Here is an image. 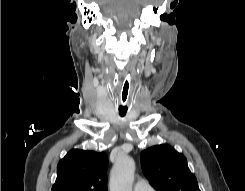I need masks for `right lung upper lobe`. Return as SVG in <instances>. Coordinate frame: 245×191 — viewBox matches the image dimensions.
I'll return each mask as SVG.
<instances>
[{"mask_svg": "<svg viewBox=\"0 0 245 191\" xmlns=\"http://www.w3.org/2000/svg\"><path fill=\"white\" fill-rule=\"evenodd\" d=\"M107 155L73 149L60 160L51 191H107Z\"/></svg>", "mask_w": 245, "mask_h": 191, "instance_id": "cb5924a9", "label": "right lung upper lobe"}]
</instances>
